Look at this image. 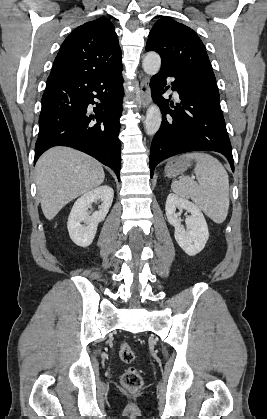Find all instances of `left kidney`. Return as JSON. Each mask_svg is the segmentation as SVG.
<instances>
[{
    "label": "left kidney",
    "instance_id": "1",
    "mask_svg": "<svg viewBox=\"0 0 267 419\" xmlns=\"http://www.w3.org/2000/svg\"><path fill=\"white\" fill-rule=\"evenodd\" d=\"M176 209H184L190 213L185 219L187 231L181 225V219L175 212ZM165 211L168 222L175 228V240L185 253L194 256L201 252L209 238V232L200 208L194 203L171 193L167 197Z\"/></svg>",
    "mask_w": 267,
    "mask_h": 419
}]
</instances>
